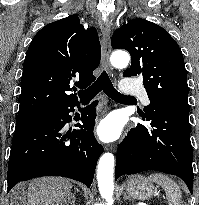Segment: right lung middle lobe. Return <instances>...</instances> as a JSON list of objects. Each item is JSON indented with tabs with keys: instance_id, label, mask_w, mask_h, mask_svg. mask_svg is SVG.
<instances>
[{
	"instance_id": "obj_1",
	"label": "right lung middle lobe",
	"mask_w": 199,
	"mask_h": 205,
	"mask_svg": "<svg viewBox=\"0 0 199 205\" xmlns=\"http://www.w3.org/2000/svg\"><path fill=\"white\" fill-rule=\"evenodd\" d=\"M53 118V112L16 118L15 134L22 133L37 124ZM14 134V135H15Z\"/></svg>"
}]
</instances>
